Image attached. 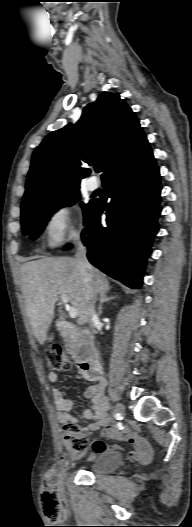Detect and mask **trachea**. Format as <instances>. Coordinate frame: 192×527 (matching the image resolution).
I'll list each match as a JSON object with an SVG mask.
<instances>
[{"instance_id":"3493384b","label":"trachea","mask_w":192,"mask_h":527,"mask_svg":"<svg viewBox=\"0 0 192 527\" xmlns=\"http://www.w3.org/2000/svg\"><path fill=\"white\" fill-rule=\"evenodd\" d=\"M100 171V168H96V172H99Z\"/></svg>"}]
</instances>
